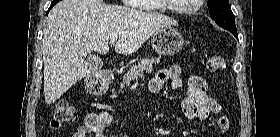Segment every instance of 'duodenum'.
<instances>
[{"label": "duodenum", "instance_id": "obj_1", "mask_svg": "<svg viewBox=\"0 0 280 137\" xmlns=\"http://www.w3.org/2000/svg\"><path fill=\"white\" fill-rule=\"evenodd\" d=\"M115 80H116V77L113 73H109L107 75V84L108 85H112L115 82Z\"/></svg>", "mask_w": 280, "mask_h": 137}]
</instances>
